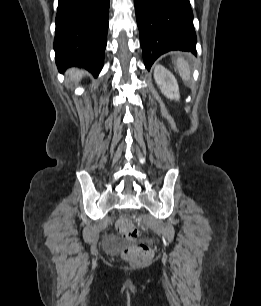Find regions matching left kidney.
I'll return each instance as SVG.
<instances>
[{"label":"left kidney","mask_w":261,"mask_h":306,"mask_svg":"<svg viewBox=\"0 0 261 306\" xmlns=\"http://www.w3.org/2000/svg\"><path fill=\"white\" fill-rule=\"evenodd\" d=\"M154 78L161 92L169 99L179 100V87L174 75L162 65L154 69Z\"/></svg>","instance_id":"left-kidney-1"}]
</instances>
